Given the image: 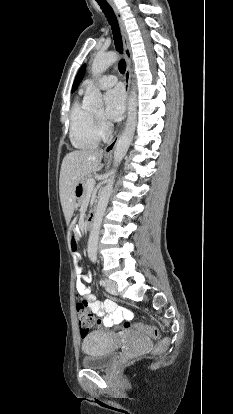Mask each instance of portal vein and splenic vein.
I'll return each mask as SVG.
<instances>
[{
    "label": "portal vein and splenic vein",
    "mask_w": 233,
    "mask_h": 414,
    "mask_svg": "<svg viewBox=\"0 0 233 414\" xmlns=\"http://www.w3.org/2000/svg\"><path fill=\"white\" fill-rule=\"evenodd\" d=\"M95 184H96L95 179H93V178L88 179V181H87V185H88V187H89L90 189H93V188H94V186H95Z\"/></svg>",
    "instance_id": "portal-vein-and-splenic-vein-1"
}]
</instances>
